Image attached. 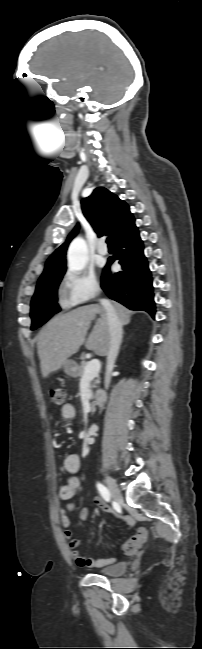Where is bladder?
Here are the masks:
<instances>
[{"instance_id": "bladder-1", "label": "bladder", "mask_w": 202, "mask_h": 649, "mask_svg": "<svg viewBox=\"0 0 202 649\" xmlns=\"http://www.w3.org/2000/svg\"><path fill=\"white\" fill-rule=\"evenodd\" d=\"M127 567V562L119 561L100 569L98 573L105 576H119L127 570Z\"/></svg>"}]
</instances>
